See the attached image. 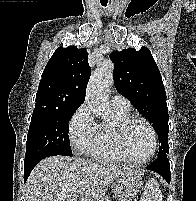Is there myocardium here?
I'll return each mask as SVG.
<instances>
[{
  "instance_id": "myocardium-1",
  "label": "myocardium",
  "mask_w": 196,
  "mask_h": 201,
  "mask_svg": "<svg viewBox=\"0 0 196 201\" xmlns=\"http://www.w3.org/2000/svg\"><path fill=\"white\" fill-rule=\"evenodd\" d=\"M141 122L145 124L148 129L150 130L151 136H152V148L150 153L142 160H135L131 157L130 152L127 147V133L130 127L137 123ZM116 141L118 144V147L124 156V158L127 160L128 163L136 166H143L146 165L151 161V159L154 157V155L157 152L158 149V135L155 130V127L153 124L147 120L146 118L139 117V116H130L127 119H124L120 121L116 126Z\"/></svg>"
}]
</instances>
